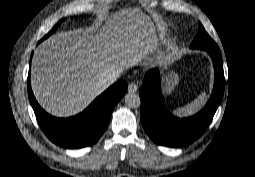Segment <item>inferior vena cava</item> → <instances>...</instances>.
Returning a JSON list of instances; mask_svg holds the SVG:
<instances>
[{"label":"inferior vena cava","instance_id":"602c4592","mask_svg":"<svg viewBox=\"0 0 255 177\" xmlns=\"http://www.w3.org/2000/svg\"><path fill=\"white\" fill-rule=\"evenodd\" d=\"M118 76V70L109 68L101 75L100 81L103 85H109L115 82L118 79Z\"/></svg>","mask_w":255,"mask_h":177}]
</instances>
